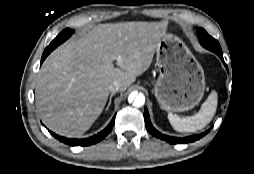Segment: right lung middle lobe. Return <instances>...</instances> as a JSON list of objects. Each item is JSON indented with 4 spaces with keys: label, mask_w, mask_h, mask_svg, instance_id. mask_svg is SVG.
Instances as JSON below:
<instances>
[{
    "label": "right lung middle lobe",
    "mask_w": 254,
    "mask_h": 174,
    "mask_svg": "<svg viewBox=\"0 0 254 174\" xmlns=\"http://www.w3.org/2000/svg\"><path fill=\"white\" fill-rule=\"evenodd\" d=\"M72 33H73L72 30H70V29H65V30H63L60 34H68L69 36H71Z\"/></svg>",
    "instance_id": "dd1d6c3e"
}]
</instances>
